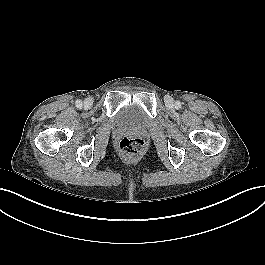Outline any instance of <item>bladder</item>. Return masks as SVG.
<instances>
[{"mask_svg": "<svg viewBox=\"0 0 265 265\" xmlns=\"http://www.w3.org/2000/svg\"><path fill=\"white\" fill-rule=\"evenodd\" d=\"M116 119L125 127L138 128L145 125L148 117L138 104L126 103L117 112Z\"/></svg>", "mask_w": 265, "mask_h": 265, "instance_id": "obj_1", "label": "bladder"}]
</instances>
